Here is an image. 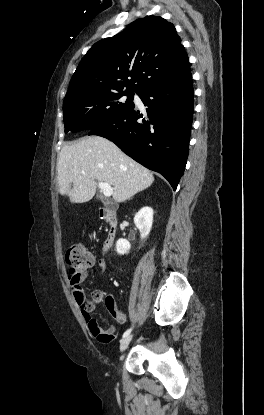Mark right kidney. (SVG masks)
<instances>
[{
	"mask_svg": "<svg viewBox=\"0 0 264 415\" xmlns=\"http://www.w3.org/2000/svg\"><path fill=\"white\" fill-rule=\"evenodd\" d=\"M153 214V209L146 206L139 210L134 217V223L140 231L141 239L146 238L150 233L153 224ZM130 248L131 244L126 239L121 238L117 240L116 251L118 254H126Z\"/></svg>",
	"mask_w": 264,
	"mask_h": 415,
	"instance_id": "right-kidney-1",
	"label": "right kidney"
}]
</instances>
